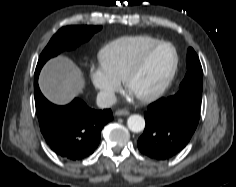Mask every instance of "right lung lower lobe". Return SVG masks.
Masks as SVG:
<instances>
[{
  "label": "right lung lower lobe",
  "mask_w": 236,
  "mask_h": 187,
  "mask_svg": "<svg viewBox=\"0 0 236 187\" xmlns=\"http://www.w3.org/2000/svg\"><path fill=\"white\" fill-rule=\"evenodd\" d=\"M34 75V97L40 130L53 151L65 160L90 156L100 142L104 125L113 119L110 109L94 110L75 98L66 106L50 103L41 93Z\"/></svg>",
  "instance_id": "obj_1"
}]
</instances>
